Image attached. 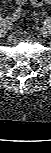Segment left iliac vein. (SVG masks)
Returning a JSON list of instances; mask_svg holds the SVG:
<instances>
[{
    "instance_id": "left-iliac-vein-1",
    "label": "left iliac vein",
    "mask_w": 51,
    "mask_h": 153,
    "mask_svg": "<svg viewBox=\"0 0 51 153\" xmlns=\"http://www.w3.org/2000/svg\"><path fill=\"white\" fill-rule=\"evenodd\" d=\"M42 32L45 33V34H50L51 33V27L50 26L43 27Z\"/></svg>"
}]
</instances>
